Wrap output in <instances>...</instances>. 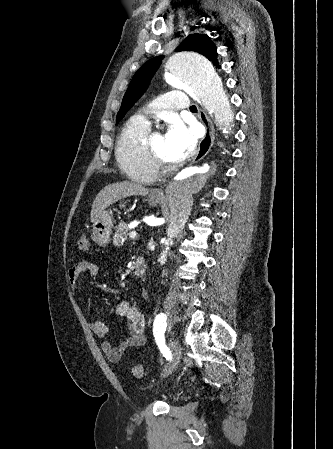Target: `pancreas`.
Segmentation results:
<instances>
[{
  "mask_svg": "<svg viewBox=\"0 0 333 449\" xmlns=\"http://www.w3.org/2000/svg\"><path fill=\"white\" fill-rule=\"evenodd\" d=\"M128 231H129L128 224L121 222L113 237V243L117 246L122 245L124 241L128 239Z\"/></svg>",
  "mask_w": 333,
  "mask_h": 449,
  "instance_id": "1",
  "label": "pancreas"
}]
</instances>
